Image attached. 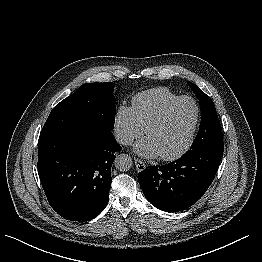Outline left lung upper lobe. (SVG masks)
Listing matches in <instances>:
<instances>
[{
  "label": "left lung upper lobe",
  "instance_id": "left-lung-upper-lobe-1",
  "mask_svg": "<svg viewBox=\"0 0 262 262\" xmlns=\"http://www.w3.org/2000/svg\"><path fill=\"white\" fill-rule=\"evenodd\" d=\"M187 84L196 94L202 110L199 132L193 141L190 150L212 146H223L221 124L212 99L195 84L189 81H187Z\"/></svg>",
  "mask_w": 262,
  "mask_h": 262
}]
</instances>
